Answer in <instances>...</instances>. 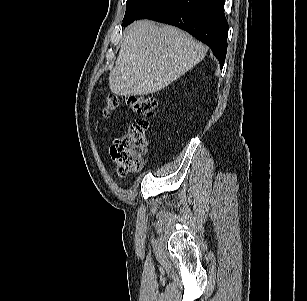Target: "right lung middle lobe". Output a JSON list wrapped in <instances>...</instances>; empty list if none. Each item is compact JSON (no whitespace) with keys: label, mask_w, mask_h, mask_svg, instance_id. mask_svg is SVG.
Listing matches in <instances>:
<instances>
[{"label":"right lung middle lobe","mask_w":307,"mask_h":301,"mask_svg":"<svg viewBox=\"0 0 307 301\" xmlns=\"http://www.w3.org/2000/svg\"><path fill=\"white\" fill-rule=\"evenodd\" d=\"M162 1L163 0H127L126 13L123 19L124 25H129Z\"/></svg>","instance_id":"dd1d6c3e"}]
</instances>
